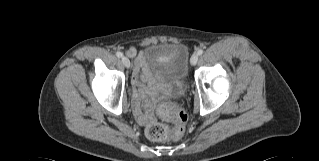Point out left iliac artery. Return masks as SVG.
I'll return each mask as SVG.
<instances>
[{"label": "left iliac artery", "mask_w": 319, "mask_h": 161, "mask_svg": "<svg viewBox=\"0 0 319 161\" xmlns=\"http://www.w3.org/2000/svg\"><path fill=\"white\" fill-rule=\"evenodd\" d=\"M202 53H203L202 49H199L198 52H197L198 55H202Z\"/></svg>", "instance_id": "1"}]
</instances>
